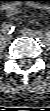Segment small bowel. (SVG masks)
Listing matches in <instances>:
<instances>
[{"label": "small bowel", "mask_w": 50, "mask_h": 111, "mask_svg": "<svg viewBox=\"0 0 50 111\" xmlns=\"http://www.w3.org/2000/svg\"><path fill=\"white\" fill-rule=\"evenodd\" d=\"M16 13H17V11H16L15 8H10V9H8L7 15H8L9 17H12V16H14Z\"/></svg>", "instance_id": "1"}]
</instances>
